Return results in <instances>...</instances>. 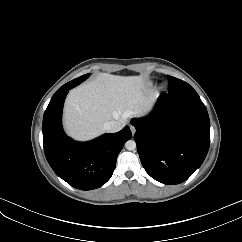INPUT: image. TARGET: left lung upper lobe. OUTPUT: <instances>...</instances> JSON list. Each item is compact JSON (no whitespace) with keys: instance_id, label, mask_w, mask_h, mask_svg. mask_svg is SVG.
<instances>
[{"instance_id":"left-lung-upper-lobe-1","label":"left lung upper lobe","mask_w":242,"mask_h":242,"mask_svg":"<svg viewBox=\"0 0 242 242\" xmlns=\"http://www.w3.org/2000/svg\"><path fill=\"white\" fill-rule=\"evenodd\" d=\"M169 88L168 93L171 94H180L188 92H196L188 83L177 79L172 76H168Z\"/></svg>"}]
</instances>
